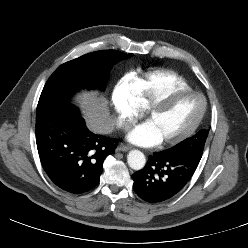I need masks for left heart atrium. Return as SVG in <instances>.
Here are the masks:
<instances>
[{
	"label": "left heart atrium",
	"instance_id": "39dd6f15",
	"mask_svg": "<svg viewBox=\"0 0 248 248\" xmlns=\"http://www.w3.org/2000/svg\"><path fill=\"white\" fill-rule=\"evenodd\" d=\"M127 139L133 144L145 147L155 146L162 141L148 121L133 128L128 133Z\"/></svg>",
	"mask_w": 248,
	"mask_h": 248
}]
</instances>
